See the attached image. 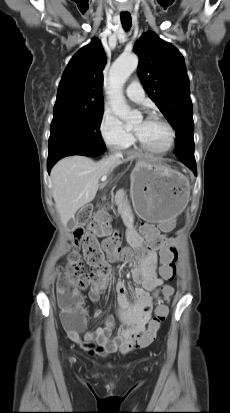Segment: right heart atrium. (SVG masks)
I'll return each instance as SVG.
<instances>
[{"mask_svg":"<svg viewBox=\"0 0 230 413\" xmlns=\"http://www.w3.org/2000/svg\"><path fill=\"white\" fill-rule=\"evenodd\" d=\"M99 133L107 146L117 150L127 148L133 141L132 134L127 131L120 120L109 111H105L101 117Z\"/></svg>","mask_w":230,"mask_h":413,"instance_id":"obj_1","label":"right heart atrium"}]
</instances>
